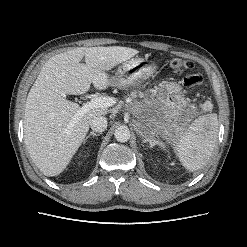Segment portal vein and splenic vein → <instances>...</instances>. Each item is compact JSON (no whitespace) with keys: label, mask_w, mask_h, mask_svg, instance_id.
Wrapping results in <instances>:
<instances>
[{"label":"portal vein and splenic vein","mask_w":247,"mask_h":247,"mask_svg":"<svg viewBox=\"0 0 247 247\" xmlns=\"http://www.w3.org/2000/svg\"><path fill=\"white\" fill-rule=\"evenodd\" d=\"M115 103V100L111 97H93L91 101L82 106L77 114L73 118V122L77 121L84 113L94 108H108Z\"/></svg>","instance_id":"1"}]
</instances>
